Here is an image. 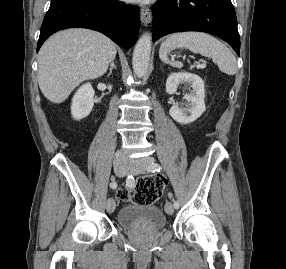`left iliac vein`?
<instances>
[{
	"mask_svg": "<svg viewBox=\"0 0 286 269\" xmlns=\"http://www.w3.org/2000/svg\"><path fill=\"white\" fill-rule=\"evenodd\" d=\"M154 163V159L152 157H145L141 159H131L130 160V172L132 174H139L146 171L147 167ZM165 211L168 215H172L174 213V207L171 202H166Z\"/></svg>",
	"mask_w": 286,
	"mask_h": 269,
	"instance_id": "obj_1",
	"label": "left iliac vein"
}]
</instances>
